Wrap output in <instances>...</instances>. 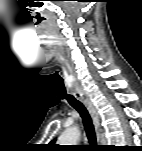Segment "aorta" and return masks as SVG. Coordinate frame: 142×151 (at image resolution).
<instances>
[{
    "label": "aorta",
    "instance_id": "1",
    "mask_svg": "<svg viewBox=\"0 0 142 151\" xmlns=\"http://www.w3.org/2000/svg\"><path fill=\"white\" fill-rule=\"evenodd\" d=\"M80 136V130L78 127L67 128L61 136L58 138L59 145H76Z\"/></svg>",
    "mask_w": 142,
    "mask_h": 151
}]
</instances>
